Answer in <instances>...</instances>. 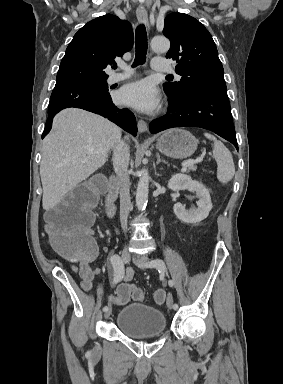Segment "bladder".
<instances>
[{"mask_svg":"<svg viewBox=\"0 0 283 384\" xmlns=\"http://www.w3.org/2000/svg\"><path fill=\"white\" fill-rule=\"evenodd\" d=\"M115 326L129 338L161 336L166 330V316L160 308L142 302L128 303L119 310Z\"/></svg>","mask_w":283,"mask_h":384,"instance_id":"1","label":"bladder"}]
</instances>
